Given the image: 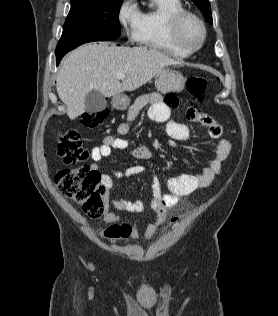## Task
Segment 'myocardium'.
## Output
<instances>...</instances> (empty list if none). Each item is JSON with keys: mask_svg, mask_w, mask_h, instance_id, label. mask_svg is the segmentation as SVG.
Masks as SVG:
<instances>
[{"mask_svg": "<svg viewBox=\"0 0 278 316\" xmlns=\"http://www.w3.org/2000/svg\"><path fill=\"white\" fill-rule=\"evenodd\" d=\"M190 22L196 24L199 28L200 37L197 41H192L187 33V26ZM171 27L176 40L191 52L202 47L207 37V29L203 20L188 10L176 13L172 18Z\"/></svg>", "mask_w": 278, "mask_h": 316, "instance_id": "f54148a6", "label": "myocardium"}]
</instances>
